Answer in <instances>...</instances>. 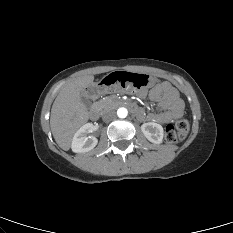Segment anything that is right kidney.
I'll return each mask as SVG.
<instances>
[{"label": "right kidney", "instance_id": "1", "mask_svg": "<svg viewBox=\"0 0 233 233\" xmlns=\"http://www.w3.org/2000/svg\"><path fill=\"white\" fill-rule=\"evenodd\" d=\"M93 130L94 125L92 123H87L75 133L71 144L73 152H88L97 145V138L94 136H88V134Z\"/></svg>", "mask_w": 233, "mask_h": 233}]
</instances>
